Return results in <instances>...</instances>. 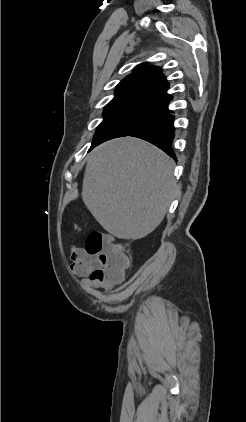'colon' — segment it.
Masks as SVG:
<instances>
[{
	"mask_svg": "<svg viewBox=\"0 0 246 422\" xmlns=\"http://www.w3.org/2000/svg\"><path fill=\"white\" fill-rule=\"evenodd\" d=\"M85 250L96 256L98 267L93 272L97 279H115L123 274L127 265V258L121 248L111 236L93 231L87 238Z\"/></svg>",
	"mask_w": 246,
	"mask_h": 422,
	"instance_id": "5ec220e1",
	"label": "colon"
}]
</instances>
